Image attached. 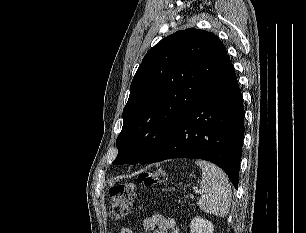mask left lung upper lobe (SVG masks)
Here are the masks:
<instances>
[{"label": "left lung upper lobe", "mask_w": 306, "mask_h": 233, "mask_svg": "<svg viewBox=\"0 0 306 233\" xmlns=\"http://www.w3.org/2000/svg\"><path fill=\"white\" fill-rule=\"evenodd\" d=\"M227 59L216 35L194 28L152 47L132 80L113 164L147 163Z\"/></svg>", "instance_id": "1"}]
</instances>
